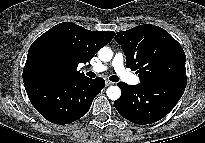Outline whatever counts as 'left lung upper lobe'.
Segmentation results:
<instances>
[{
	"label": "left lung upper lobe",
	"mask_w": 205,
	"mask_h": 143,
	"mask_svg": "<svg viewBox=\"0 0 205 143\" xmlns=\"http://www.w3.org/2000/svg\"><path fill=\"white\" fill-rule=\"evenodd\" d=\"M115 40L123 47L126 66L139 74L140 83L186 79L184 50L164 29L143 24L118 32Z\"/></svg>",
	"instance_id": "left-lung-upper-lobe-1"
}]
</instances>
